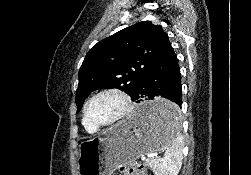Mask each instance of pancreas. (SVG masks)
Returning <instances> with one entry per match:
<instances>
[{
  "label": "pancreas",
  "instance_id": "cf45deb5",
  "mask_svg": "<svg viewBox=\"0 0 251 175\" xmlns=\"http://www.w3.org/2000/svg\"><path fill=\"white\" fill-rule=\"evenodd\" d=\"M145 165H151L150 159H148V161H145Z\"/></svg>",
  "mask_w": 251,
  "mask_h": 175
}]
</instances>
